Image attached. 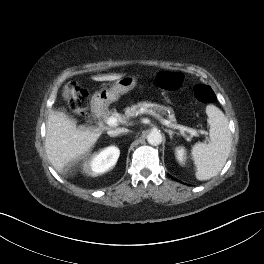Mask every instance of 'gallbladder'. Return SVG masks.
I'll return each instance as SVG.
<instances>
[{"label":"gallbladder","instance_id":"gallbladder-1","mask_svg":"<svg viewBox=\"0 0 264 264\" xmlns=\"http://www.w3.org/2000/svg\"><path fill=\"white\" fill-rule=\"evenodd\" d=\"M63 97L65 99L69 98V89L67 87H64V89H63Z\"/></svg>","mask_w":264,"mask_h":264}]
</instances>
